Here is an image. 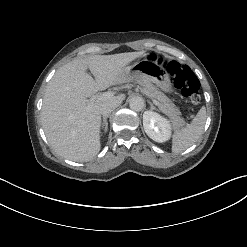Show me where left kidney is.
<instances>
[{
  "label": "left kidney",
  "mask_w": 247,
  "mask_h": 247,
  "mask_svg": "<svg viewBox=\"0 0 247 247\" xmlns=\"http://www.w3.org/2000/svg\"><path fill=\"white\" fill-rule=\"evenodd\" d=\"M143 127L146 134L156 142L163 143L170 138L171 125L169 121L156 112H144Z\"/></svg>",
  "instance_id": "5707ae66"
}]
</instances>
